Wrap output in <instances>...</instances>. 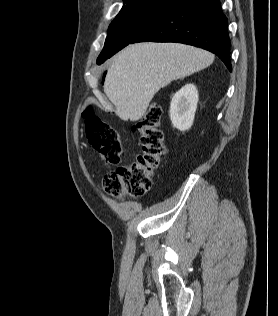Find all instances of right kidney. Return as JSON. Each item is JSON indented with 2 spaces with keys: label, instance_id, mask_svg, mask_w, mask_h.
<instances>
[{
  "label": "right kidney",
  "instance_id": "ca27d5eb",
  "mask_svg": "<svg viewBox=\"0 0 278 316\" xmlns=\"http://www.w3.org/2000/svg\"><path fill=\"white\" fill-rule=\"evenodd\" d=\"M198 100V91L193 84H186L176 92L170 104V119L175 128L180 131L191 128Z\"/></svg>",
  "mask_w": 278,
  "mask_h": 316
}]
</instances>
